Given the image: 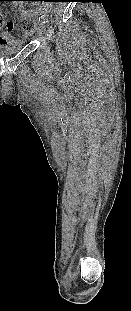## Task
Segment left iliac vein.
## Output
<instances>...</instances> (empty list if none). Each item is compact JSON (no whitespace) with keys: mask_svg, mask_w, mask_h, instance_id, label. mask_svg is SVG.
<instances>
[{"mask_svg":"<svg viewBox=\"0 0 131 311\" xmlns=\"http://www.w3.org/2000/svg\"><path fill=\"white\" fill-rule=\"evenodd\" d=\"M39 34H44L46 32V27L44 24H40V27H39Z\"/></svg>","mask_w":131,"mask_h":311,"instance_id":"left-iliac-vein-1","label":"left iliac vein"}]
</instances>
